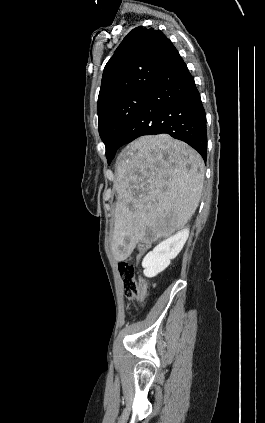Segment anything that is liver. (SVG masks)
Instances as JSON below:
<instances>
[{
	"label": "liver",
	"mask_w": 265,
	"mask_h": 423,
	"mask_svg": "<svg viewBox=\"0 0 265 423\" xmlns=\"http://www.w3.org/2000/svg\"><path fill=\"white\" fill-rule=\"evenodd\" d=\"M203 181V159L182 141L159 134L128 144L116 161L114 259L181 230L199 205Z\"/></svg>",
	"instance_id": "1"
}]
</instances>
